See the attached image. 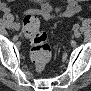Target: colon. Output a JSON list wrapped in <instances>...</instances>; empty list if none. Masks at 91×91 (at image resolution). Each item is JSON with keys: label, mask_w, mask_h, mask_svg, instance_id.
<instances>
[{"label": "colon", "mask_w": 91, "mask_h": 91, "mask_svg": "<svg viewBox=\"0 0 91 91\" xmlns=\"http://www.w3.org/2000/svg\"><path fill=\"white\" fill-rule=\"evenodd\" d=\"M48 19L49 16H43ZM23 35L29 39L31 45V60L35 69L41 72L51 59V47L48 43V35L40 30V21L35 14H27L23 20Z\"/></svg>", "instance_id": "5ec220e1"}]
</instances>
